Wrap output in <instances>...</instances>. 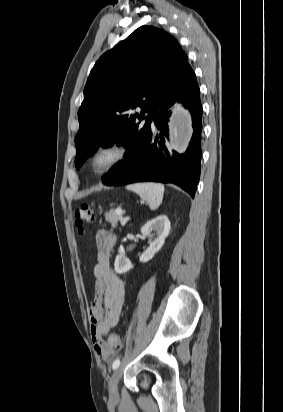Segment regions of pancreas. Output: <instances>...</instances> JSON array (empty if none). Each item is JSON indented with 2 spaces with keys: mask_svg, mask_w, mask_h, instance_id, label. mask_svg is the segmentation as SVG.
<instances>
[{
  "mask_svg": "<svg viewBox=\"0 0 283 412\" xmlns=\"http://www.w3.org/2000/svg\"><path fill=\"white\" fill-rule=\"evenodd\" d=\"M105 219L111 224L112 227H116L121 217L117 215L114 210H110L108 213L105 214Z\"/></svg>",
  "mask_w": 283,
  "mask_h": 412,
  "instance_id": "obj_1",
  "label": "pancreas"
}]
</instances>
